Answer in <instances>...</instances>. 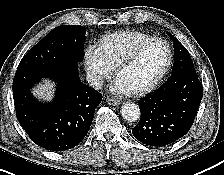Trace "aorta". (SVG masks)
<instances>
[{"label":"aorta","mask_w":224,"mask_h":175,"mask_svg":"<svg viewBox=\"0 0 224 175\" xmlns=\"http://www.w3.org/2000/svg\"><path fill=\"white\" fill-rule=\"evenodd\" d=\"M121 116L129 122H134L140 117V108L135 103H125L121 107Z\"/></svg>","instance_id":"1"}]
</instances>
